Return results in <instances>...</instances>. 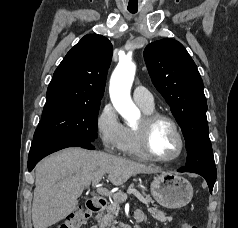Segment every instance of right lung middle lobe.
Returning a JSON list of instances; mask_svg holds the SVG:
<instances>
[{
	"mask_svg": "<svg viewBox=\"0 0 238 228\" xmlns=\"http://www.w3.org/2000/svg\"><path fill=\"white\" fill-rule=\"evenodd\" d=\"M99 107L79 105L42 114L33 140L79 138L92 142L97 138Z\"/></svg>",
	"mask_w": 238,
	"mask_h": 228,
	"instance_id": "obj_1",
	"label": "right lung middle lobe"
}]
</instances>
